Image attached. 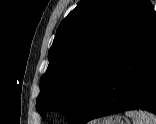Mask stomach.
I'll return each instance as SVG.
<instances>
[{
	"instance_id": "0dacf381",
	"label": "stomach",
	"mask_w": 156,
	"mask_h": 124,
	"mask_svg": "<svg viewBox=\"0 0 156 124\" xmlns=\"http://www.w3.org/2000/svg\"><path fill=\"white\" fill-rule=\"evenodd\" d=\"M106 124H130L128 119H123L121 116H115L113 119H110L105 122Z\"/></svg>"
}]
</instances>
